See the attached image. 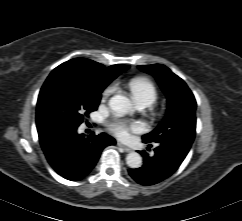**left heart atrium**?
Returning a JSON list of instances; mask_svg holds the SVG:
<instances>
[{"label":"left heart atrium","instance_id":"obj_1","mask_svg":"<svg viewBox=\"0 0 242 221\" xmlns=\"http://www.w3.org/2000/svg\"><path fill=\"white\" fill-rule=\"evenodd\" d=\"M110 128L121 139H127L131 131H137L135 124H129L124 120H115Z\"/></svg>","mask_w":242,"mask_h":221}]
</instances>
